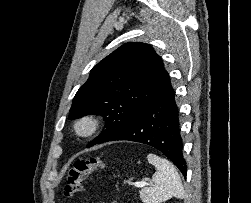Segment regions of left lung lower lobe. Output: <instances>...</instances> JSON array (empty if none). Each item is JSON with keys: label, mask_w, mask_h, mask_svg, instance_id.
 Returning <instances> with one entry per match:
<instances>
[{"label": "left lung lower lobe", "mask_w": 251, "mask_h": 203, "mask_svg": "<svg viewBox=\"0 0 251 203\" xmlns=\"http://www.w3.org/2000/svg\"><path fill=\"white\" fill-rule=\"evenodd\" d=\"M115 140L140 142L158 149L186 177L179 109L169 76L155 97L136 114L121 132L108 141Z\"/></svg>", "instance_id": "left-lung-lower-lobe-1"}]
</instances>
